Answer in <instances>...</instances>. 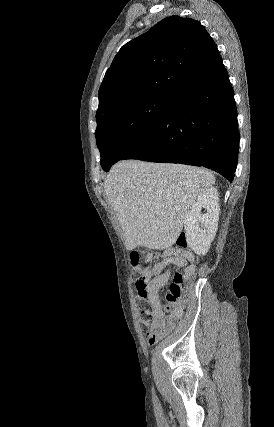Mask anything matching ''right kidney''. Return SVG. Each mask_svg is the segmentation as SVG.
I'll return each instance as SVG.
<instances>
[{"label": "right kidney", "instance_id": "obj_1", "mask_svg": "<svg viewBox=\"0 0 274 427\" xmlns=\"http://www.w3.org/2000/svg\"><path fill=\"white\" fill-rule=\"evenodd\" d=\"M206 208V214H201ZM220 214L219 194L217 188H207L198 196L194 206L189 210L184 219L186 243L194 253L204 255L213 241ZM202 223L203 227H199Z\"/></svg>", "mask_w": 274, "mask_h": 427}]
</instances>
